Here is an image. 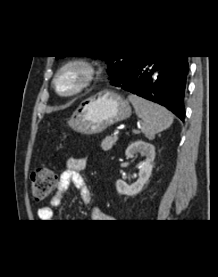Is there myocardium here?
Instances as JSON below:
<instances>
[{
    "label": "myocardium",
    "mask_w": 218,
    "mask_h": 277,
    "mask_svg": "<svg viewBox=\"0 0 218 277\" xmlns=\"http://www.w3.org/2000/svg\"><path fill=\"white\" fill-rule=\"evenodd\" d=\"M68 72L77 74V82L69 90H61L59 80ZM97 75L96 67L84 58L70 59L61 64L53 77V88L56 93L63 97H71L77 95L89 87L95 80Z\"/></svg>",
    "instance_id": "myocardium-1"
}]
</instances>
